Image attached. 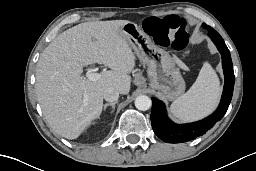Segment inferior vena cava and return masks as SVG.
Segmentation results:
<instances>
[{
  "mask_svg": "<svg viewBox=\"0 0 256 171\" xmlns=\"http://www.w3.org/2000/svg\"><path fill=\"white\" fill-rule=\"evenodd\" d=\"M119 97V92L114 87H108L104 90L103 98L108 102H115Z\"/></svg>",
  "mask_w": 256,
  "mask_h": 171,
  "instance_id": "602c4592",
  "label": "inferior vena cava"
}]
</instances>
